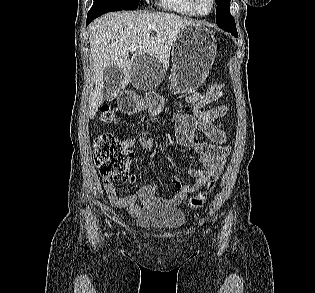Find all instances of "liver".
Wrapping results in <instances>:
<instances>
[{
  "mask_svg": "<svg viewBox=\"0 0 315 293\" xmlns=\"http://www.w3.org/2000/svg\"><path fill=\"white\" fill-rule=\"evenodd\" d=\"M197 22L172 13L120 12L96 19L89 37L95 89L89 102V117L93 118L102 104L103 72L114 65L125 74L121 88L131 80L132 60L129 47L136 44L133 58L148 54L165 67L178 33Z\"/></svg>",
  "mask_w": 315,
  "mask_h": 293,
  "instance_id": "1",
  "label": "liver"
}]
</instances>
